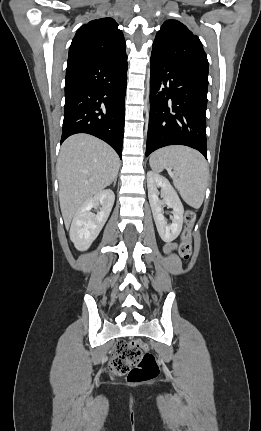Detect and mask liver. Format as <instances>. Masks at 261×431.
<instances>
[{
	"label": "liver",
	"instance_id": "6515ba94",
	"mask_svg": "<svg viewBox=\"0 0 261 431\" xmlns=\"http://www.w3.org/2000/svg\"><path fill=\"white\" fill-rule=\"evenodd\" d=\"M119 167L117 153L92 135L76 134L64 141L57 175L60 208L66 227L84 202L112 183Z\"/></svg>",
	"mask_w": 261,
	"mask_h": 431
}]
</instances>
